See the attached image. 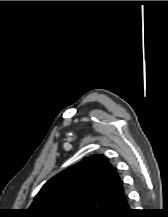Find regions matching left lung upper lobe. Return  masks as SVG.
<instances>
[{"label":"left lung upper lobe","instance_id":"1","mask_svg":"<svg viewBox=\"0 0 168 217\" xmlns=\"http://www.w3.org/2000/svg\"><path fill=\"white\" fill-rule=\"evenodd\" d=\"M123 191V182L108 159L94 155L45 183L28 213L31 217H99Z\"/></svg>","mask_w":168,"mask_h":217}]
</instances>
